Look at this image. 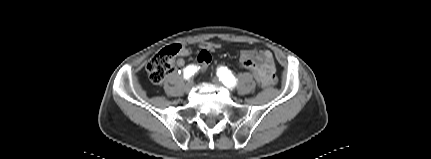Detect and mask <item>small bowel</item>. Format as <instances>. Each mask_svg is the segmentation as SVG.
<instances>
[{
  "label": "small bowel",
  "instance_id": "c3829d8e",
  "mask_svg": "<svg viewBox=\"0 0 431 159\" xmlns=\"http://www.w3.org/2000/svg\"><path fill=\"white\" fill-rule=\"evenodd\" d=\"M218 48H220V45L218 43L206 42L201 45L200 52L210 53ZM240 62L252 66L255 70L258 71V75L260 76L259 78L262 81L261 85L265 86L274 84L276 82V66L274 63L273 55L270 51L264 49L242 50L240 53ZM184 65L185 61L183 58H179L176 60L177 67H183ZM246 70L251 71L249 68H246ZM198 77L202 80L205 76H200L198 74Z\"/></svg>",
  "mask_w": 431,
  "mask_h": 159
}]
</instances>
